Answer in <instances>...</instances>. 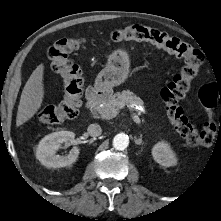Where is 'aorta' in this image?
I'll list each match as a JSON object with an SVG mask.
<instances>
[{
	"mask_svg": "<svg viewBox=\"0 0 221 221\" xmlns=\"http://www.w3.org/2000/svg\"><path fill=\"white\" fill-rule=\"evenodd\" d=\"M128 145H129V137L124 133L117 134L113 138V147L116 150H124L128 147Z\"/></svg>",
	"mask_w": 221,
	"mask_h": 221,
	"instance_id": "obj_1",
	"label": "aorta"
}]
</instances>
